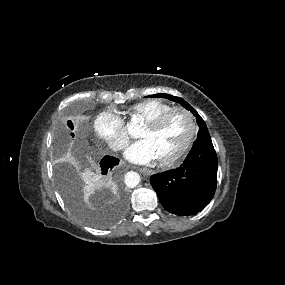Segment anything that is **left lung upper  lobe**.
Segmentation results:
<instances>
[{"instance_id": "5c2ea615", "label": "left lung upper lobe", "mask_w": 285, "mask_h": 285, "mask_svg": "<svg viewBox=\"0 0 285 285\" xmlns=\"http://www.w3.org/2000/svg\"><path fill=\"white\" fill-rule=\"evenodd\" d=\"M148 97H164V98H167V99L172 100L174 102L180 103L184 108H186L187 110H190L194 114V116H196L197 123H198L199 128H200L199 132H198V135H197V140L195 142H197L198 140H201V139H203L205 137H210L208 129H207V126H206L205 122L203 121V119L201 118V116L197 113V111L194 108H192L182 98L175 97V96H172V95H169V94H163V93L151 95V96H148Z\"/></svg>"}]
</instances>
